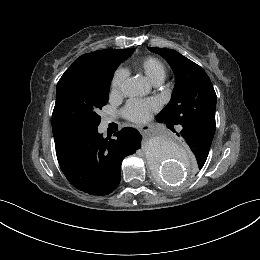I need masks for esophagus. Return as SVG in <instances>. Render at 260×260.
<instances>
[{"label": "esophagus", "mask_w": 260, "mask_h": 260, "mask_svg": "<svg viewBox=\"0 0 260 260\" xmlns=\"http://www.w3.org/2000/svg\"><path fill=\"white\" fill-rule=\"evenodd\" d=\"M137 127L143 133H146V134L151 133L150 125H148V124H140Z\"/></svg>", "instance_id": "esophagus-1"}]
</instances>
